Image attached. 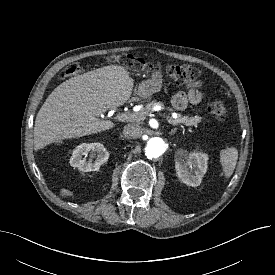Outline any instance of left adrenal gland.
<instances>
[{
	"instance_id": "obj_1",
	"label": "left adrenal gland",
	"mask_w": 275,
	"mask_h": 275,
	"mask_svg": "<svg viewBox=\"0 0 275 275\" xmlns=\"http://www.w3.org/2000/svg\"><path fill=\"white\" fill-rule=\"evenodd\" d=\"M176 132H177V129L174 128V129L171 130V132H170L169 134H170V135H174Z\"/></svg>"
}]
</instances>
